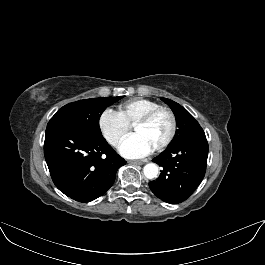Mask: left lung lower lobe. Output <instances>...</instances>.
I'll use <instances>...</instances> for the list:
<instances>
[{
    "mask_svg": "<svg viewBox=\"0 0 265 265\" xmlns=\"http://www.w3.org/2000/svg\"><path fill=\"white\" fill-rule=\"evenodd\" d=\"M208 149L204 132L169 145L153 159L162 171L156 180L149 182L151 191L170 204L186 200L204 178Z\"/></svg>",
    "mask_w": 265,
    "mask_h": 265,
    "instance_id": "0a47b994",
    "label": "left lung lower lobe"
}]
</instances>
